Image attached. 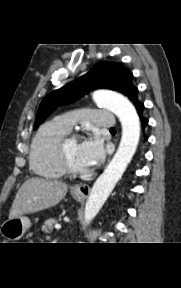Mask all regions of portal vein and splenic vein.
<instances>
[{"instance_id":"obj_1","label":"portal vein and splenic vein","mask_w":181,"mask_h":288,"mask_svg":"<svg viewBox=\"0 0 181 288\" xmlns=\"http://www.w3.org/2000/svg\"><path fill=\"white\" fill-rule=\"evenodd\" d=\"M55 228H56L57 230H59V229H61V225L56 224V225H55Z\"/></svg>"}]
</instances>
